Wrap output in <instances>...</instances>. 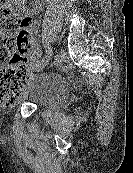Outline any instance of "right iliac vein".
Masks as SVG:
<instances>
[{
  "instance_id": "1",
  "label": "right iliac vein",
  "mask_w": 133,
  "mask_h": 173,
  "mask_svg": "<svg viewBox=\"0 0 133 173\" xmlns=\"http://www.w3.org/2000/svg\"><path fill=\"white\" fill-rule=\"evenodd\" d=\"M51 54L45 56L41 61L37 62L35 67H34V71L35 72H39L41 71L49 62L50 58H51Z\"/></svg>"
}]
</instances>
